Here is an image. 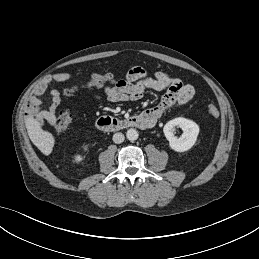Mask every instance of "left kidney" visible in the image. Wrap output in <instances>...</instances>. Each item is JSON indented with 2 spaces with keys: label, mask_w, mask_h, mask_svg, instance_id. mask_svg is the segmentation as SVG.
<instances>
[{
  "label": "left kidney",
  "mask_w": 259,
  "mask_h": 259,
  "mask_svg": "<svg viewBox=\"0 0 259 259\" xmlns=\"http://www.w3.org/2000/svg\"><path fill=\"white\" fill-rule=\"evenodd\" d=\"M175 127H179L183 130V134L180 138L174 135ZM199 130V126L194 121L183 117L168 121L163 128L170 148L176 152H185L191 149L196 143Z\"/></svg>",
  "instance_id": "left-kidney-1"
}]
</instances>
